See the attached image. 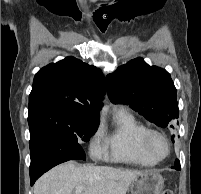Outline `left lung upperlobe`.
<instances>
[{
    "mask_svg": "<svg viewBox=\"0 0 201 194\" xmlns=\"http://www.w3.org/2000/svg\"><path fill=\"white\" fill-rule=\"evenodd\" d=\"M106 83L111 102L129 104L157 126L174 128L171 123L179 116L176 88L166 70L136 58L107 75Z\"/></svg>",
    "mask_w": 201,
    "mask_h": 194,
    "instance_id": "obj_1",
    "label": "left lung upper lobe"
}]
</instances>
